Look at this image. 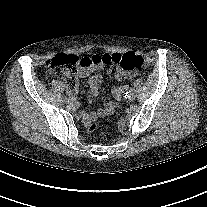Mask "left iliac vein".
Returning <instances> with one entry per match:
<instances>
[{
  "instance_id": "left-iliac-vein-1",
  "label": "left iliac vein",
  "mask_w": 207,
  "mask_h": 207,
  "mask_svg": "<svg viewBox=\"0 0 207 207\" xmlns=\"http://www.w3.org/2000/svg\"><path fill=\"white\" fill-rule=\"evenodd\" d=\"M134 99H135V95H133V96L128 95V96L126 97V101H127L128 103L133 102Z\"/></svg>"
}]
</instances>
